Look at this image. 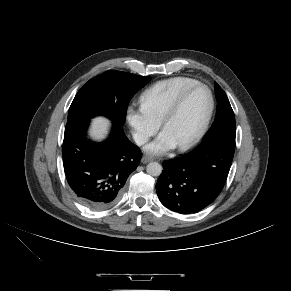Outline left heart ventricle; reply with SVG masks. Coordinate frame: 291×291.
I'll use <instances>...</instances> for the list:
<instances>
[{"label":"left heart ventricle","mask_w":291,"mask_h":291,"mask_svg":"<svg viewBox=\"0 0 291 291\" xmlns=\"http://www.w3.org/2000/svg\"><path fill=\"white\" fill-rule=\"evenodd\" d=\"M209 108V96L205 89L192 91L175 116L164 127L177 145L189 140L200 128Z\"/></svg>","instance_id":"left-heart-ventricle-1"}]
</instances>
